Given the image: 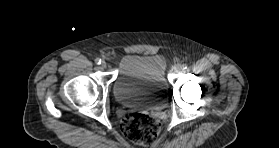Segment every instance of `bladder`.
<instances>
[{
	"mask_svg": "<svg viewBox=\"0 0 279 148\" xmlns=\"http://www.w3.org/2000/svg\"><path fill=\"white\" fill-rule=\"evenodd\" d=\"M165 69V60L160 55L126 56L113 84L116 101L128 108H165L168 102Z\"/></svg>",
	"mask_w": 279,
	"mask_h": 148,
	"instance_id": "1",
	"label": "bladder"
}]
</instances>
